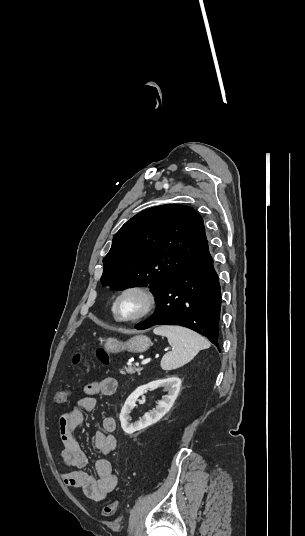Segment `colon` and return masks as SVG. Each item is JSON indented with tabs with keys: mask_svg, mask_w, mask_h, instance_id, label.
<instances>
[{
	"mask_svg": "<svg viewBox=\"0 0 305 536\" xmlns=\"http://www.w3.org/2000/svg\"><path fill=\"white\" fill-rule=\"evenodd\" d=\"M84 354H85V350L83 348L74 352L73 357H72V362L75 366L81 364ZM95 355L101 363L106 364L109 362V356L103 348H97ZM68 400H69V390L59 389L56 392L54 401L57 404L64 405L68 402ZM116 508H117V501L115 500L103 508L102 516L104 517L112 516Z\"/></svg>",
	"mask_w": 305,
	"mask_h": 536,
	"instance_id": "colon-1",
	"label": "colon"
}]
</instances>
